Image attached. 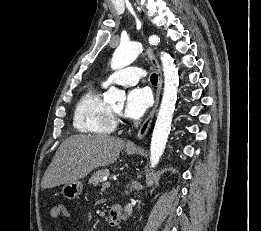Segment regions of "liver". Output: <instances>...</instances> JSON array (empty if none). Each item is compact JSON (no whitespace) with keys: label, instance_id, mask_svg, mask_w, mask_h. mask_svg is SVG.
<instances>
[{"label":"liver","instance_id":"1","mask_svg":"<svg viewBox=\"0 0 261 231\" xmlns=\"http://www.w3.org/2000/svg\"><path fill=\"white\" fill-rule=\"evenodd\" d=\"M124 146L121 138L103 134L70 136L56 151L41 187L53 188L84 178L95 168L114 163Z\"/></svg>","mask_w":261,"mask_h":231}]
</instances>
